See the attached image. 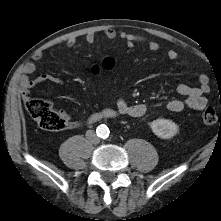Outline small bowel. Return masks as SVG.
Masks as SVG:
<instances>
[{"label": "small bowel", "mask_w": 221, "mask_h": 221, "mask_svg": "<svg viewBox=\"0 0 221 221\" xmlns=\"http://www.w3.org/2000/svg\"><path fill=\"white\" fill-rule=\"evenodd\" d=\"M104 36L108 40H115L118 36L123 39L128 47H133L137 43H146L147 48L152 52H157L160 50V45L155 41H146V39L137 34L118 33L112 28H106L103 31ZM85 41L88 44H93L96 41V34L89 32L85 35ZM76 44L75 38H70L67 40L66 45L68 47H73ZM167 57L170 60H177L178 53L170 49L166 52ZM42 54L38 53L35 55V60H40ZM36 65L34 62H28L23 66V74L21 77V94L24 100L31 97V89L35 86L42 84L44 82H51L57 85H62L63 81L52 74L43 73L35 78H31V75L35 72ZM209 78L206 74H200L198 76V86H191L186 83H180L176 90L177 93L183 96V99H173L167 104L168 110L171 112H180L185 108H190L196 111H201L207 106V98L205 94L209 89ZM116 108L118 112L122 115H127L133 118L142 117L148 110V106L144 103L130 104L123 97L118 98L116 103ZM62 116L67 119L68 126L70 128L79 125L78 122L73 121L68 114L62 112Z\"/></svg>", "instance_id": "1"}]
</instances>
